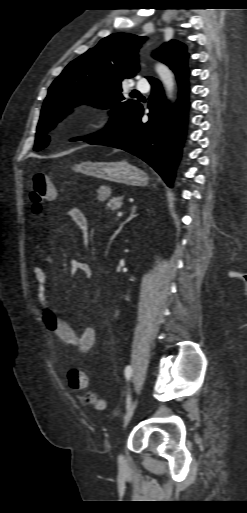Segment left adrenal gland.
Wrapping results in <instances>:
<instances>
[{
    "label": "left adrenal gland",
    "mask_w": 247,
    "mask_h": 513,
    "mask_svg": "<svg viewBox=\"0 0 247 513\" xmlns=\"http://www.w3.org/2000/svg\"><path fill=\"white\" fill-rule=\"evenodd\" d=\"M136 209H137V206H132L129 217H128L125 221H123V222H121V223H120L119 228L115 231V233L113 234V236H112V238H111L112 240H113L114 238H116V236L121 232V230H122L123 226H124L127 222H129L130 220H132L133 218H135V217L138 215V214H135V213H136Z\"/></svg>",
    "instance_id": "1"
}]
</instances>
